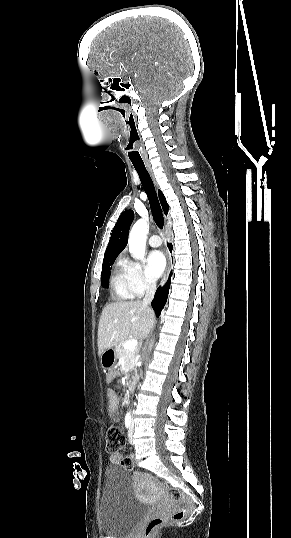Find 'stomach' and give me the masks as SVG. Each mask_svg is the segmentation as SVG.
Instances as JSON below:
<instances>
[{"mask_svg": "<svg viewBox=\"0 0 291 538\" xmlns=\"http://www.w3.org/2000/svg\"><path fill=\"white\" fill-rule=\"evenodd\" d=\"M100 359H101V365H102L103 368H105V369L112 368L114 366L115 362H116V359H117L115 349L114 348L106 349L101 354Z\"/></svg>", "mask_w": 291, "mask_h": 538, "instance_id": "obj_1", "label": "stomach"}]
</instances>
